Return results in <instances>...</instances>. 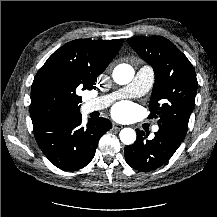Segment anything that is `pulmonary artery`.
Returning a JSON list of instances; mask_svg holds the SVG:
<instances>
[{
    "label": "pulmonary artery",
    "instance_id": "e3ab8cb5",
    "mask_svg": "<svg viewBox=\"0 0 217 217\" xmlns=\"http://www.w3.org/2000/svg\"><path fill=\"white\" fill-rule=\"evenodd\" d=\"M153 82L154 71L152 67L144 65L139 68L132 82L126 87L110 95L87 100L85 103H83L81 110L84 114H88L106 108L114 99L117 98L140 97L150 90ZM158 130V125H154L152 127L153 132H157Z\"/></svg>",
    "mask_w": 217,
    "mask_h": 217
}]
</instances>
